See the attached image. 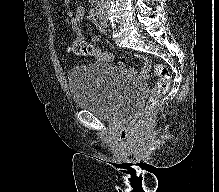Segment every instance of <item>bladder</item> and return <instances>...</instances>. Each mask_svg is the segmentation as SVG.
Returning a JSON list of instances; mask_svg holds the SVG:
<instances>
[{
    "instance_id": "obj_1",
    "label": "bladder",
    "mask_w": 219,
    "mask_h": 192,
    "mask_svg": "<svg viewBox=\"0 0 219 192\" xmlns=\"http://www.w3.org/2000/svg\"><path fill=\"white\" fill-rule=\"evenodd\" d=\"M67 80L74 106L107 122L133 118L144 100V89L117 64L77 66L68 72Z\"/></svg>"
}]
</instances>
